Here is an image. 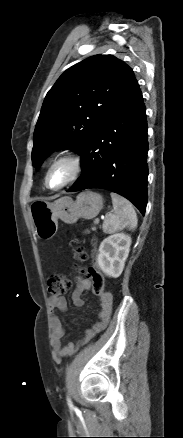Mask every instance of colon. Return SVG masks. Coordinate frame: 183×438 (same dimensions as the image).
<instances>
[{"label": "colon", "mask_w": 183, "mask_h": 438, "mask_svg": "<svg viewBox=\"0 0 183 438\" xmlns=\"http://www.w3.org/2000/svg\"><path fill=\"white\" fill-rule=\"evenodd\" d=\"M88 255L82 247H78L75 251V258L78 262H84ZM79 271L85 273L88 279L91 281V289L95 296L104 295V277L96 262H93L88 268H78ZM71 287V282L65 276L57 274L51 275L48 279V294L50 297L63 296Z\"/></svg>", "instance_id": "colon-1"}]
</instances>
